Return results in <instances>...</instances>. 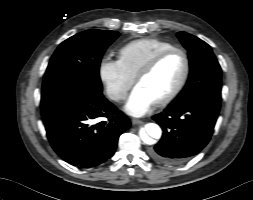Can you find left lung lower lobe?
I'll return each mask as SVG.
<instances>
[{"label":"left lung lower lobe","mask_w":253,"mask_h":200,"mask_svg":"<svg viewBox=\"0 0 253 200\" xmlns=\"http://www.w3.org/2000/svg\"><path fill=\"white\" fill-rule=\"evenodd\" d=\"M221 106V95L203 94L187 103H171L153 119L163 130L150 156L163 164H180L209 142Z\"/></svg>","instance_id":"left-lung-lower-lobe-1"}]
</instances>
